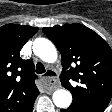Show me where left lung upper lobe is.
Segmentation results:
<instances>
[{
	"instance_id": "obj_1",
	"label": "left lung upper lobe",
	"mask_w": 112,
	"mask_h": 112,
	"mask_svg": "<svg viewBox=\"0 0 112 112\" xmlns=\"http://www.w3.org/2000/svg\"><path fill=\"white\" fill-rule=\"evenodd\" d=\"M43 32L61 53L60 81L72 93V104L106 108L112 97V50L105 40L82 24L44 27Z\"/></svg>"
}]
</instances>
